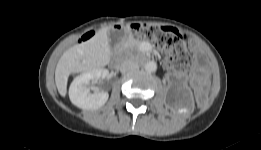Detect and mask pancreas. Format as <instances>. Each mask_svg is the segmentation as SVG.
<instances>
[{"label":"pancreas","mask_w":261,"mask_h":150,"mask_svg":"<svg viewBox=\"0 0 261 150\" xmlns=\"http://www.w3.org/2000/svg\"><path fill=\"white\" fill-rule=\"evenodd\" d=\"M136 44H137V45H139V44H140V42H139V41H137V42H136ZM142 56L144 57V56H145V54H142Z\"/></svg>","instance_id":"cf45deb5"}]
</instances>
